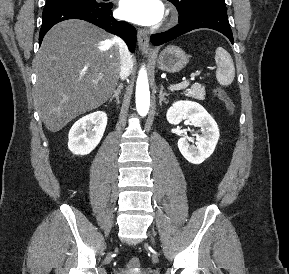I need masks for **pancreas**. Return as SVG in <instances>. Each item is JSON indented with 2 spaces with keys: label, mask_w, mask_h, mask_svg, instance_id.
Listing matches in <instances>:
<instances>
[{
  "label": "pancreas",
  "mask_w": 289,
  "mask_h": 274,
  "mask_svg": "<svg viewBox=\"0 0 289 274\" xmlns=\"http://www.w3.org/2000/svg\"><path fill=\"white\" fill-rule=\"evenodd\" d=\"M184 94L187 97H192L197 100H204L206 94L205 87L199 83H196L193 84L189 89H186Z\"/></svg>",
  "instance_id": "pancreas-1"
}]
</instances>
